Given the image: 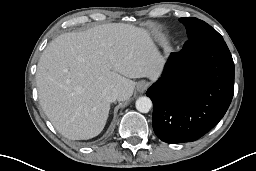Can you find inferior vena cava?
Instances as JSON below:
<instances>
[{"instance_id": "inferior-vena-cava-1", "label": "inferior vena cava", "mask_w": 256, "mask_h": 171, "mask_svg": "<svg viewBox=\"0 0 256 171\" xmlns=\"http://www.w3.org/2000/svg\"><path fill=\"white\" fill-rule=\"evenodd\" d=\"M102 95L108 102H114L118 99L119 93L117 89L108 87L102 91Z\"/></svg>"}]
</instances>
